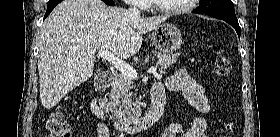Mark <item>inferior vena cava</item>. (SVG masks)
<instances>
[{
	"label": "inferior vena cava",
	"mask_w": 280,
	"mask_h": 137,
	"mask_svg": "<svg viewBox=\"0 0 280 137\" xmlns=\"http://www.w3.org/2000/svg\"><path fill=\"white\" fill-rule=\"evenodd\" d=\"M129 11L134 16H140V11L136 7H131Z\"/></svg>",
	"instance_id": "1"
}]
</instances>
